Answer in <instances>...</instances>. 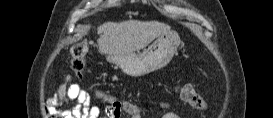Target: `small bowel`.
Instances as JSON below:
<instances>
[{"mask_svg":"<svg viewBox=\"0 0 273 118\" xmlns=\"http://www.w3.org/2000/svg\"><path fill=\"white\" fill-rule=\"evenodd\" d=\"M181 98L183 101L193 106L186 95H181ZM65 100L74 101V105L70 110L58 112L61 118H100L101 117V114L103 111L102 107L97 104H92L90 95L77 84L70 86ZM150 104L158 105L165 109H169L172 107V104L168 101H152L150 102ZM104 111L108 118H120L121 116V111L118 110L116 106L111 103L105 104ZM132 118H139V115L134 114L132 115ZM164 118H180V116L176 113L171 112L166 114Z\"/></svg>","mask_w":273,"mask_h":118,"instance_id":"obj_1","label":"small bowel"}]
</instances>
